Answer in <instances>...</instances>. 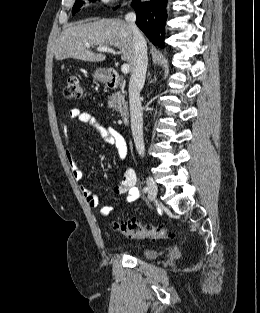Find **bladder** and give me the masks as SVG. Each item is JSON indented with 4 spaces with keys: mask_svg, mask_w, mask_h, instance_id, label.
Here are the masks:
<instances>
[{
    "mask_svg": "<svg viewBox=\"0 0 260 313\" xmlns=\"http://www.w3.org/2000/svg\"><path fill=\"white\" fill-rule=\"evenodd\" d=\"M143 255L147 258V259H156L159 257L160 253L155 250V249H151V248H144L142 250Z\"/></svg>",
    "mask_w": 260,
    "mask_h": 313,
    "instance_id": "31cf9c89",
    "label": "bladder"
}]
</instances>
